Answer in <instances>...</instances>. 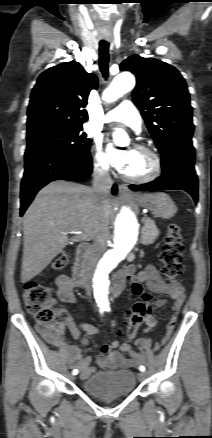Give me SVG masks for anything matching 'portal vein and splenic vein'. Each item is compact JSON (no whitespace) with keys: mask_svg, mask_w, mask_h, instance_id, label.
I'll return each mask as SVG.
<instances>
[{"mask_svg":"<svg viewBox=\"0 0 212 438\" xmlns=\"http://www.w3.org/2000/svg\"><path fill=\"white\" fill-rule=\"evenodd\" d=\"M74 233H76V234H81L82 232H74Z\"/></svg>","mask_w":212,"mask_h":438,"instance_id":"portal-vein-and-splenic-vein-1","label":"portal vein and splenic vein"}]
</instances>
